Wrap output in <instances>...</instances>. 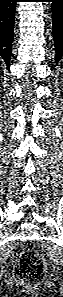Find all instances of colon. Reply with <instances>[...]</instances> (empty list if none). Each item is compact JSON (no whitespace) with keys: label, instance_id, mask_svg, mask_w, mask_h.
I'll return each mask as SVG.
<instances>
[{"label":"colon","instance_id":"obj_1","mask_svg":"<svg viewBox=\"0 0 63 297\" xmlns=\"http://www.w3.org/2000/svg\"><path fill=\"white\" fill-rule=\"evenodd\" d=\"M16 277L28 284L38 283L45 275V265L41 255L34 250H27L18 259L15 266Z\"/></svg>","mask_w":63,"mask_h":297}]
</instances>
